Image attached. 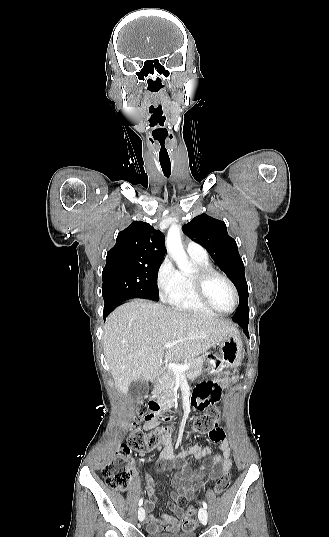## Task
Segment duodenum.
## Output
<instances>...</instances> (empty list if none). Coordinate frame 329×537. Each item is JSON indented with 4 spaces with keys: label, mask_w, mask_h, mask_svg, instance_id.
<instances>
[{
    "label": "duodenum",
    "mask_w": 329,
    "mask_h": 537,
    "mask_svg": "<svg viewBox=\"0 0 329 537\" xmlns=\"http://www.w3.org/2000/svg\"><path fill=\"white\" fill-rule=\"evenodd\" d=\"M174 406L173 403L160 398H154L149 404L150 411L155 417H158L159 415H162L163 417L167 416V413H169Z\"/></svg>",
    "instance_id": "obj_1"
}]
</instances>
